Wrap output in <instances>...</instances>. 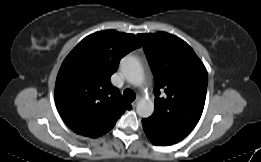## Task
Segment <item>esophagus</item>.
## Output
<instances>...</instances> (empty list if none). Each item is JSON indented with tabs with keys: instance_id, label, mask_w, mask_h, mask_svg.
Listing matches in <instances>:
<instances>
[{
	"instance_id": "1",
	"label": "esophagus",
	"mask_w": 261,
	"mask_h": 162,
	"mask_svg": "<svg viewBox=\"0 0 261 162\" xmlns=\"http://www.w3.org/2000/svg\"><path fill=\"white\" fill-rule=\"evenodd\" d=\"M138 104V100H135L131 103L132 107L135 108Z\"/></svg>"
}]
</instances>
